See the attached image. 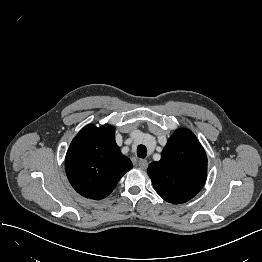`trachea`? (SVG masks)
Segmentation results:
<instances>
[{
  "label": "trachea",
  "instance_id": "3493384b",
  "mask_svg": "<svg viewBox=\"0 0 262 262\" xmlns=\"http://www.w3.org/2000/svg\"><path fill=\"white\" fill-rule=\"evenodd\" d=\"M147 155V148L144 145H139L137 147V156L139 158H145Z\"/></svg>",
  "mask_w": 262,
  "mask_h": 262
}]
</instances>
